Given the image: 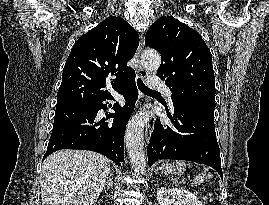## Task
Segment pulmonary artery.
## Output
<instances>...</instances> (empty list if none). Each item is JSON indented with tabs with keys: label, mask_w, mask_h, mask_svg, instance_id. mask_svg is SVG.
I'll return each instance as SVG.
<instances>
[{
	"label": "pulmonary artery",
	"mask_w": 269,
	"mask_h": 205,
	"mask_svg": "<svg viewBox=\"0 0 269 205\" xmlns=\"http://www.w3.org/2000/svg\"><path fill=\"white\" fill-rule=\"evenodd\" d=\"M146 82H147V85L149 88L165 92L167 94V96L169 97V99L171 100L172 93L166 87V85L164 84V82L161 78L155 77V76H149L147 78Z\"/></svg>",
	"instance_id": "1"
}]
</instances>
